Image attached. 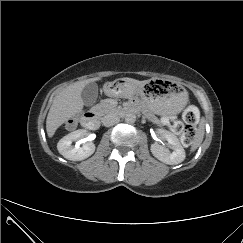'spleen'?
<instances>
[{
  "label": "spleen",
  "instance_id": "spleen-1",
  "mask_svg": "<svg viewBox=\"0 0 243 243\" xmlns=\"http://www.w3.org/2000/svg\"><path fill=\"white\" fill-rule=\"evenodd\" d=\"M204 133H205V122L202 119L198 129L196 130L194 139L192 141V145H191V151H195L202 143L203 138H204Z\"/></svg>",
  "mask_w": 243,
  "mask_h": 243
}]
</instances>
